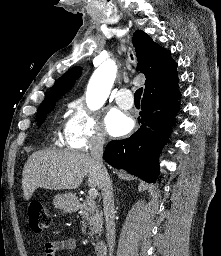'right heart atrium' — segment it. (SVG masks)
<instances>
[{"label":"right heart atrium","instance_id":"obj_1","mask_svg":"<svg viewBox=\"0 0 221 256\" xmlns=\"http://www.w3.org/2000/svg\"><path fill=\"white\" fill-rule=\"evenodd\" d=\"M63 140L70 148L86 151L105 144V134L95 113L74 103L65 124Z\"/></svg>","mask_w":221,"mask_h":256}]
</instances>
